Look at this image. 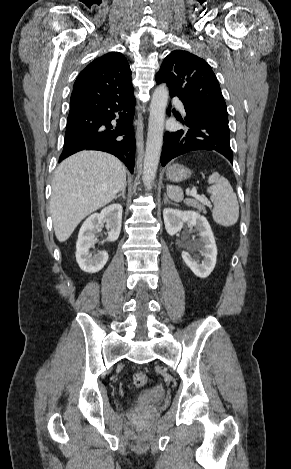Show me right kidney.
Masks as SVG:
<instances>
[{
    "instance_id": "right-kidney-1",
    "label": "right kidney",
    "mask_w": 291,
    "mask_h": 469,
    "mask_svg": "<svg viewBox=\"0 0 291 469\" xmlns=\"http://www.w3.org/2000/svg\"><path fill=\"white\" fill-rule=\"evenodd\" d=\"M122 206L112 204L104 208L100 213L89 216L80 228L76 243V261L79 267L87 273L99 272L108 261L105 251L93 254L90 248L94 246V238L102 222L107 223V241L114 242L121 231Z\"/></svg>"
}]
</instances>
